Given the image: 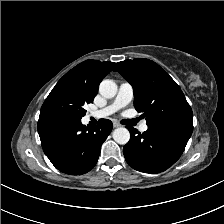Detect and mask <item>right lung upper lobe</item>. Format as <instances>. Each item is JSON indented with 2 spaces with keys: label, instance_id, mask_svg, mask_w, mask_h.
I'll return each instance as SVG.
<instances>
[{
  "label": "right lung upper lobe",
  "instance_id": "obj_1",
  "mask_svg": "<svg viewBox=\"0 0 224 224\" xmlns=\"http://www.w3.org/2000/svg\"><path fill=\"white\" fill-rule=\"evenodd\" d=\"M115 63L86 60L69 72L61 80L77 86L91 97H95L102 79L113 69Z\"/></svg>",
  "mask_w": 224,
  "mask_h": 224
}]
</instances>
